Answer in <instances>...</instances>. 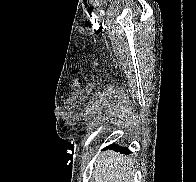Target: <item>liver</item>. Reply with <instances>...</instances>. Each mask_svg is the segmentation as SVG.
Here are the masks:
<instances>
[{
	"mask_svg": "<svg viewBox=\"0 0 196 182\" xmlns=\"http://www.w3.org/2000/svg\"><path fill=\"white\" fill-rule=\"evenodd\" d=\"M133 161L114 151H105L96 160L94 182H131Z\"/></svg>",
	"mask_w": 196,
	"mask_h": 182,
	"instance_id": "1",
	"label": "liver"
}]
</instances>
